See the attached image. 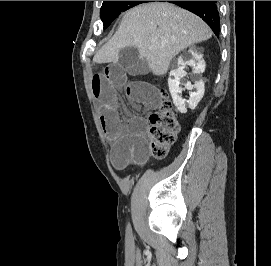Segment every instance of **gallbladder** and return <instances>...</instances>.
I'll list each match as a JSON object with an SVG mask.
<instances>
[{
	"label": "gallbladder",
	"instance_id": "obj_1",
	"mask_svg": "<svg viewBox=\"0 0 271 266\" xmlns=\"http://www.w3.org/2000/svg\"><path fill=\"white\" fill-rule=\"evenodd\" d=\"M119 64L125 67L132 76L146 75L149 73V66L145 58H140L136 47L128 46L119 53Z\"/></svg>",
	"mask_w": 271,
	"mask_h": 266
}]
</instances>
